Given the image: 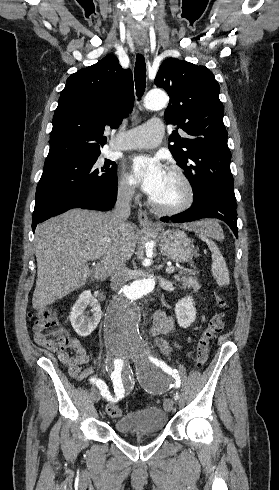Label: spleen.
I'll use <instances>...</instances> for the list:
<instances>
[{
	"label": "spleen",
	"mask_w": 279,
	"mask_h": 490,
	"mask_svg": "<svg viewBox=\"0 0 279 490\" xmlns=\"http://www.w3.org/2000/svg\"><path fill=\"white\" fill-rule=\"evenodd\" d=\"M199 238L206 242L208 248L212 252V274L221 288L228 286L230 282L228 268L226 262L216 244L208 238H214V240H219L222 242L224 240V234L221 226L215 222V220H203L200 222V228L197 230Z\"/></svg>",
	"instance_id": "3e777b00"
}]
</instances>
